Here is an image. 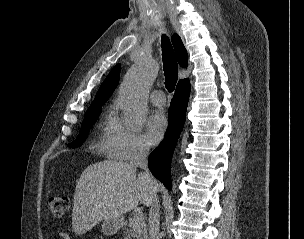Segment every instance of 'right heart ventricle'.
Returning a JSON list of instances; mask_svg holds the SVG:
<instances>
[{
	"label": "right heart ventricle",
	"instance_id": "right-heart-ventricle-1",
	"mask_svg": "<svg viewBox=\"0 0 304 239\" xmlns=\"http://www.w3.org/2000/svg\"><path fill=\"white\" fill-rule=\"evenodd\" d=\"M111 123V118H107L102 125L100 126V134H101V138H103V136L106 134V132L108 131V128L110 126Z\"/></svg>",
	"mask_w": 304,
	"mask_h": 239
}]
</instances>
